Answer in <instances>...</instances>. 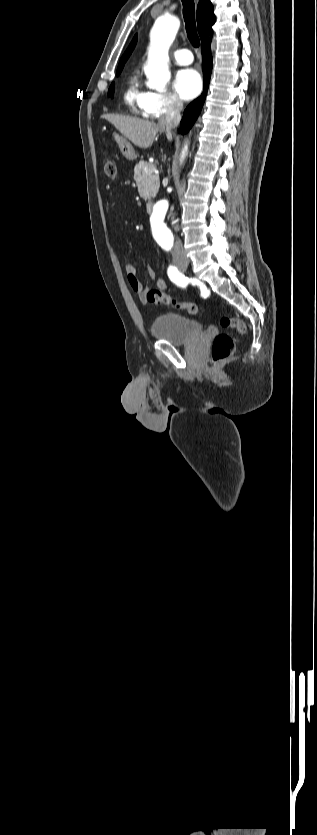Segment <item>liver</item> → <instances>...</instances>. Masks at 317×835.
<instances>
[{
    "instance_id": "6515ba94",
    "label": "liver",
    "mask_w": 317,
    "mask_h": 835,
    "mask_svg": "<svg viewBox=\"0 0 317 835\" xmlns=\"http://www.w3.org/2000/svg\"><path fill=\"white\" fill-rule=\"evenodd\" d=\"M102 118L114 125L121 134L139 148H149L153 144L155 136L164 131L159 123L156 124L147 120L115 114H104Z\"/></svg>"
}]
</instances>
